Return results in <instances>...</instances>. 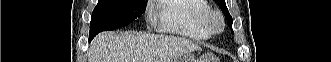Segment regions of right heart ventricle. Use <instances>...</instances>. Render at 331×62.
Listing matches in <instances>:
<instances>
[{
	"instance_id": "obj_1",
	"label": "right heart ventricle",
	"mask_w": 331,
	"mask_h": 62,
	"mask_svg": "<svg viewBox=\"0 0 331 62\" xmlns=\"http://www.w3.org/2000/svg\"><path fill=\"white\" fill-rule=\"evenodd\" d=\"M208 10L204 0H161L158 6L160 27L193 40H206L212 35L204 22Z\"/></svg>"
}]
</instances>
